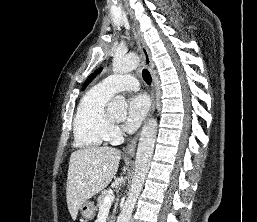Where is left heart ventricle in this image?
Returning a JSON list of instances; mask_svg holds the SVG:
<instances>
[{"label":"left heart ventricle","instance_id":"left-heart-ventricle-1","mask_svg":"<svg viewBox=\"0 0 257 222\" xmlns=\"http://www.w3.org/2000/svg\"><path fill=\"white\" fill-rule=\"evenodd\" d=\"M111 119H112L114 122H116V121H118V120H119V117L111 116Z\"/></svg>","mask_w":257,"mask_h":222}]
</instances>
